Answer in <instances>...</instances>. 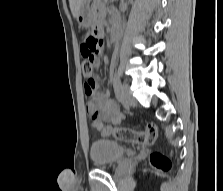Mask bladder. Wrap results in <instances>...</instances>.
I'll return each mask as SVG.
<instances>
[{
    "mask_svg": "<svg viewBox=\"0 0 223 191\" xmlns=\"http://www.w3.org/2000/svg\"><path fill=\"white\" fill-rule=\"evenodd\" d=\"M126 152L127 147L115 140L97 139L90 145V158L97 167L115 164L125 156Z\"/></svg>",
    "mask_w": 223,
    "mask_h": 191,
    "instance_id": "31cf9c89",
    "label": "bladder"
}]
</instances>
